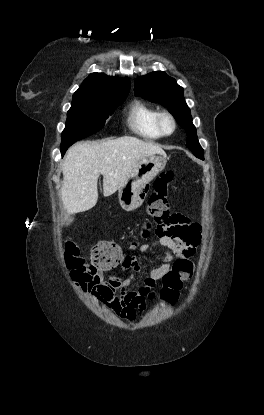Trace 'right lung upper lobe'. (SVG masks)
Masks as SVG:
<instances>
[{"label":"right lung upper lobe","instance_id":"1","mask_svg":"<svg viewBox=\"0 0 264 415\" xmlns=\"http://www.w3.org/2000/svg\"><path fill=\"white\" fill-rule=\"evenodd\" d=\"M130 82L100 73H91L74 93L73 98L99 96H127Z\"/></svg>","mask_w":264,"mask_h":415}]
</instances>
